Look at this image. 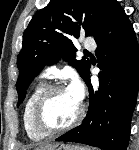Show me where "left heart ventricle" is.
<instances>
[{
	"label": "left heart ventricle",
	"mask_w": 139,
	"mask_h": 150,
	"mask_svg": "<svg viewBox=\"0 0 139 150\" xmlns=\"http://www.w3.org/2000/svg\"><path fill=\"white\" fill-rule=\"evenodd\" d=\"M77 101L68 89L55 92L47 100L42 118L50 127H61L70 123L79 110Z\"/></svg>",
	"instance_id": "left-heart-ventricle-1"
}]
</instances>
